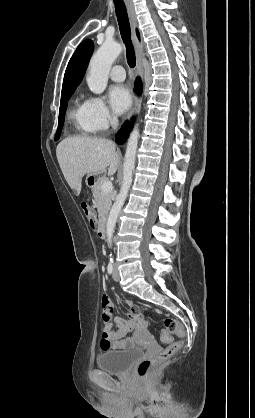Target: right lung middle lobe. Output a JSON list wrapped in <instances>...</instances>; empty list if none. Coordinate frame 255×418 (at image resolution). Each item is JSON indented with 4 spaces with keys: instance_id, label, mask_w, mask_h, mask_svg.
Listing matches in <instances>:
<instances>
[{
    "instance_id": "dd1d6c3e",
    "label": "right lung middle lobe",
    "mask_w": 255,
    "mask_h": 418,
    "mask_svg": "<svg viewBox=\"0 0 255 418\" xmlns=\"http://www.w3.org/2000/svg\"><path fill=\"white\" fill-rule=\"evenodd\" d=\"M73 92L74 90L62 92L60 110H59V119H58L59 126H58V130L55 136V140H58L60 137L61 130H62L63 123H64V116H65V112L67 108V102L69 98L71 97V95L73 94Z\"/></svg>"
}]
</instances>
